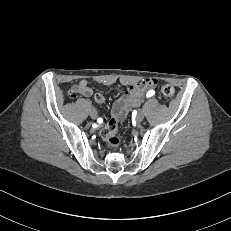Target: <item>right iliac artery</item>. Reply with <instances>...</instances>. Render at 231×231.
I'll return each mask as SVG.
<instances>
[{
  "label": "right iliac artery",
  "instance_id": "right-iliac-artery-1",
  "mask_svg": "<svg viewBox=\"0 0 231 231\" xmlns=\"http://www.w3.org/2000/svg\"><path fill=\"white\" fill-rule=\"evenodd\" d=\"M98 123H102L103 122V119L102 118H98Z\"/></svg>",
  "mask_w": 231,
  "mask_h": 231
}]
</instances>
